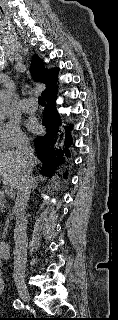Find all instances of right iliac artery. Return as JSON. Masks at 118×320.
I'll use <instances>...</instances> for the list:
<instances>
[{
	"mask_svg": "<svg viewBox=\"0 0 118 320\" xmlns=\"http://www.w3.org/2000/svg\"><path fill=\"white\" fill-rule=\"evenodd\" d=\"M13 306H14L15 309H22L23 308V303L19 299H16L13 302Z\"/></svg>",
	"mask_w": 118,
	"mask_h": 320,
	"instance_id": "obj_1",
	"label": "right iliac artery"
}]
</instances>
